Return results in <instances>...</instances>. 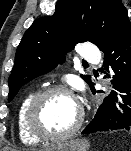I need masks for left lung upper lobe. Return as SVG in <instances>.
<instances>
[{"label": "left lung upper lobe", "instance_id": "1", "mask_svg": "<svg viewBox=\"0 0 131 151\" xmlns=\"http://www.w3.org/2000/svg\"><path fill=\"white\" fill-rule=\"evenodd\" d=\"M130 34L121 0H58L53 15L37 19L24 33L9 77L8 102L24 84L62 63L77 43L90 41L105 51ZM81 78L91 83L90 76Z\"/></svg>", "mask_w": 131, "mask_h": 151}]
</instances>
